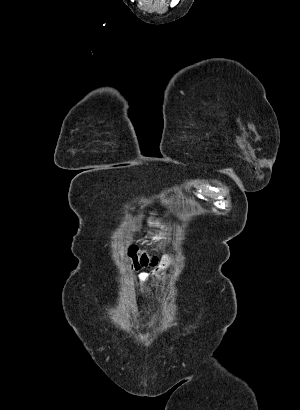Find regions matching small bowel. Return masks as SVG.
I'll return each instance as SVG.
<instances>
[{"label": "small bowel", "mask_w": 300, "mask_h": 410, "mask_svg": "<svg viewBox=\"0 0 300 410\" xmlns=\"http://www.w3.org/2000/svg\"><path fill=\"white\" fill-rule=\"evenodd\" d=\"M169 267H170V263H169V260H167L163 263L160 269L153 276H157L159 274L166 272L169 269Z\"/></svg>", "instance_id": "obj_1"}]
</instances>
